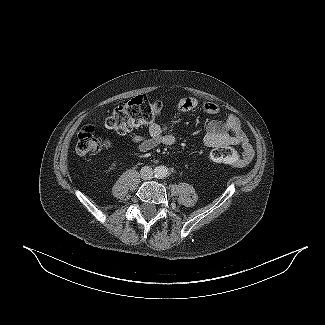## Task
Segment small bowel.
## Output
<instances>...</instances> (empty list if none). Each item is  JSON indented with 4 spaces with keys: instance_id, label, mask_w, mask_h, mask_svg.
Wrapping results in <instances>:
<instances>
[{
    "instance_id": "c3829d8e",
    "label": "small bowel",
    "mask_w": 325,
    "mask_h": 325,
    "mask_svg": "<svg viewBox=\"0 0 325 325\" xmlns=\"http://www.w3.org/2000/svg\"><path fill=\"white\" fill-rule=\"evenodd\" d=\"M201 109L207 114L216 115L220 112V107L213 102L201 103L196 98H184L177 104V109L182 112ZM131 142L141 152L154 149L157 146H172L177 143V137L170 132L167 125L158 123L150 124L148 135H133ZM203 143L210 148L222 145H236L242 149V156L238 166H242L251 161L254 155L253 148L243 131L242 124L234 115H228L223 120H212L206 125V132L203 136Z\"/></svg>"
}]
</instances>
